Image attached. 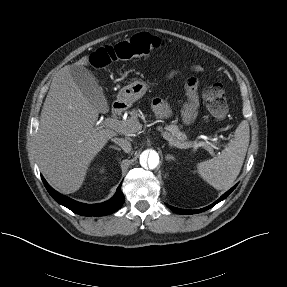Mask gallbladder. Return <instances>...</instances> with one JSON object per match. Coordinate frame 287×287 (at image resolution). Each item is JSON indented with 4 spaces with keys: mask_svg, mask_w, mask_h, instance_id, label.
Returning a JSON list of instances; mask_svg holds the SVG:
<instances>
[{
    "mask_svg": "<svg viewBox=\"0 0 287 287\" xmlns=\"http://www.w3.org/2000/svg\"><path fill=\"white\" fill-rule=\"evenodd\" d=\"M70 74L74 83L94 106L100 111L108 110L107 100L95 76L84 66L71 65Z\"/></svg>",
    "mask_w": 287,
    "mask_h": 287,
    "instance_id": "1",
    "label": "gallbladder"
}]
</instances>
